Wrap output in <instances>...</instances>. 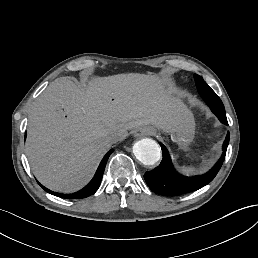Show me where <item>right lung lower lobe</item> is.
<instances>
[{
    "mask_svg": "<svg viewBox=\"0 0 258 258\" xmlns=\"http://www.w3.org/2000/svg\"><path fill=\"white\" fill-rule=\"evenodd\" d=\"M114 150L111 149L102 159L93 179L90 181V183L88 185H86L83 189H81L78 192H75L73 194H61V193H56L53 192L47 188H45L44 186H42L40 183L39 185L48 193L53 194L55 196L61 197V198H65V199H80V198H86L88 196H91L92 194H94L97 189L100 186L101 180H102V176L105 170V166L107 163V160L110 156V154L113 152Z\"/></svg>",
    "mask_w": 258,
    "mask_h": 258,
    "instance_id": "1",
    "label": "right lung lower lobe"
}]
</instances>
